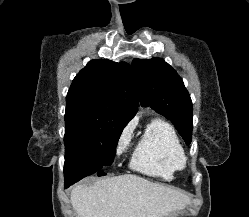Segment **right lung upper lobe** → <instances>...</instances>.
<instances>
[{"label":"right lung upper lobe","mask_w":249,"mask_h":217,"mask_svg":"<svg viewBox=\"0 0 249 217\" xmlns=\"http://www.w3.org/2000/svg\"><path fill=\"white\" fill-rule=\"evenodd\" d=\"M136 89L141 101L138 82L128 63L95 59L76 75L66 101L90 103L129 121L137 112Z\"/></svg>","instance_id":"1"}]
</instances>
